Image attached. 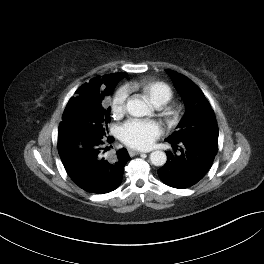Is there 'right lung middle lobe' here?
<instances>
[{
    "label": "right lung middle lobe",
    "mask_w": 264,
    "mask_h": 264,
    "mask_svg": "<svg viewBox=\"0 0 264 264\" xmlns=\"http://www.w3.org/2000/svg\"><path fill=\"white\" fill-rule=\"evenodd\" d=\"M113 89L114 85L105 89L101 95L95 96L93 100L73 106L59 125L58 139L66 140L78 135L106 137L107 124L110 123V107H103L101 102Z\"/></svg>",
    "instance_id": "dd1d6c3e"
}]
</instances>
